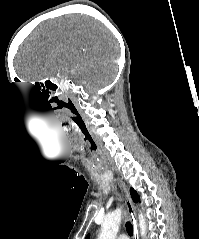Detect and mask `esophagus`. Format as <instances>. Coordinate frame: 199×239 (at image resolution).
<instances>
[{"label":"esophagus","mask_w":199,"mask_h":239,"mask_svg":"<svg viewBox=\"0 0 199 239\" xmlns=\"http://www.w3.org/2000/svg\"><path fill=\"white\" fill-rule=\"evenodd\" d=\"M120 188L124 194L125 204L127 208V215L133 225V235L135 239H138V228L136 221V212L134 203L130 197L129 189L122 180H118Z\"/></svg>","instance_id":"1"}]
</instances>
